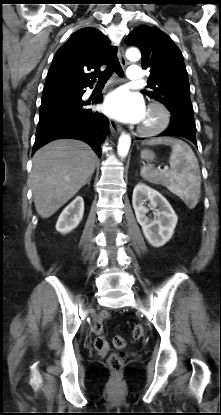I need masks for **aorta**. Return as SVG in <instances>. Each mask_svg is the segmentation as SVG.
Returning a JSON list of instances; mask_svg holds the SVG:
<instances>
[{"label":"aorta","mask_w":221,"mask_h":415,"mask_svg":"<svg viewBox=\"0 0 221 415\" xmlns=\"http://www.w3.org/2000/svg\"><path fill=\"white\" fill-rule=\"evenodd\" d=\"M140 56H141L140 52L137 48H129L126 51V57L127 59L131 61L138 60ZM130 145H131L130 135L127 133H122L121 136L119 137V143L117 147L118 155L120 157H126V155L129 152Z\"/></svg>","instance_id":"obj_1"}]
</instances>
